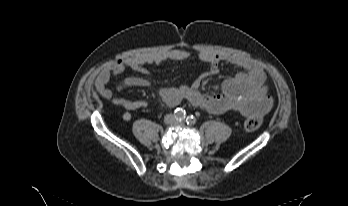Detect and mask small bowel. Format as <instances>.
<instances>
[{"label": "small bowel", "instance_id": "c3829d8e", "mask_svg": "<svg viewBox=\"0 0 348 206\" xmlns=\"http://www.w3.org/2000/svg\"><path fill=\"white\" fill-rule=\"evenodd\" d=\"M189 56L186 50L141 53L119 59L100 71L95 87L98 95L113 105L123 108L122 118L129 121L132 111L144 108L147 102L140 99L129 100L119 96L108 87L111 76L121 74L126 68L140 72L143 76L127 77L117 85V91L135 86H151L146 77V65L161 64L166 61H182ZM199 58L208 65L204 77L214 75L219 70L222 61H227L242 68L234 77L224 81L221 94L205 95L200 92V81L196 80L191 86L161 88L160 96L169 106H176L182 100H188L193 106L213 114L234 112L241 116L262 115L273 107V99L268 95L266 75L255 62L238 55L223 56L209 51H201Z\"/></svg>", "mask_w": 348, "mask_h": 206}]
</instances>
